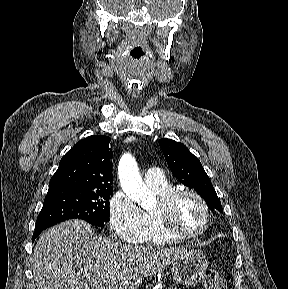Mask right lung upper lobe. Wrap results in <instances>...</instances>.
<instances>
[{
    "instance_id": "obj_1",
    "label": "right lung upper lobe",
    "mask_w": 288,
    "mask_h": 289,
    "mask_svg": "<svg viewBox=\"0 0 288 289\" xmlns=\"http://www.w3.org/2000/svg\"><path fill=\"white\" fill-rule=\"evenodd\" d=\"M111 139L90 136L76 143L61 159L49 183L57 189L101 190L112 188Z\"/></svg>"
}]
</instances>
